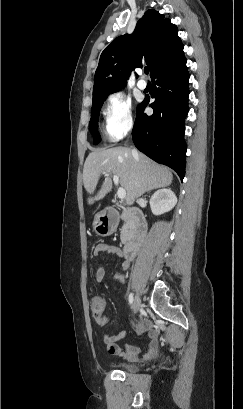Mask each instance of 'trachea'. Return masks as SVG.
<instances>
[{"label": "trachea", "mask_w": 243, "mask_h": 409, "mask_svg": "<svg viewBox=\"0 0 243 409\" xmlns=\"http://www.w3.org/2000/svg\"><path fill=\"white\" fill-rule=\"evenodd\" d=\"M144 72H145V74L148 75V73H149V68H145V69H144Z\"/></svg>", "instance_id": "1"}]
</instances>
